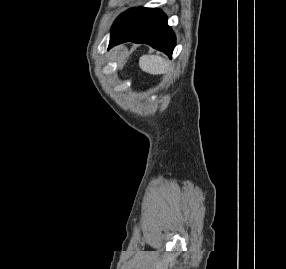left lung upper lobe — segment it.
Returning <instances> with one entry per match:
<instances>
[{"label": "left lung upper lobe", "instance_id": "left-lung-upper-lobe-1", "mask_svg": "<svg viewBox=\"0 0 286 269\" xmlns=\"http://www.w3.org/2000/svg\"><path fill=\"white\" fill-rule=\"evenodd\" d=\"M132 9H129L128 11L124 12L123 14H121L116 21L113 24V27H115ZM112 27V28H113Z\"/></svg>", "mask_w": 286, "mask_h": 269}]
</instances>
